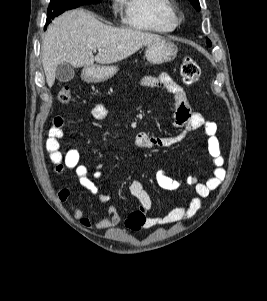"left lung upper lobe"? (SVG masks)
<instances>
[{"mask_svg":"<svg viewBox=\"0 0 267 301\" xmlns=\"http://www.w3.org/2000/svg\"><path fill=\"white\" fill-rule=\"evenodd\" d=\"M191 2V4L193 5V7L196 10H200V4L198 0H189ZM208 46H211V41L207 38L206 39Z\"/></svg>","mask_w":267,"mask_h":301,"instance_id":"left-lung-upper-lobe-1","label":"left lung upper lobe"}]
</instances>
